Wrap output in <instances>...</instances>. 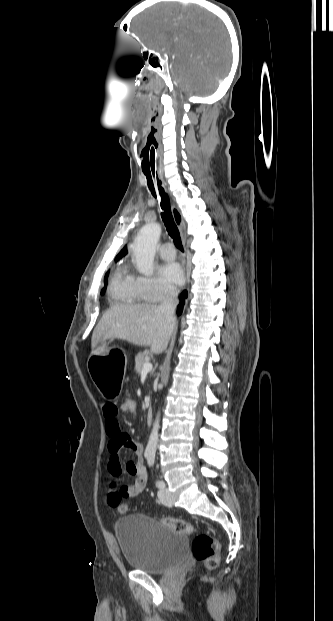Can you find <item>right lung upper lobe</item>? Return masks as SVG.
<instances>
[{
    "instance_id": "right-lung-upper-lobe-1",
    "label": "right lung upper lobe",
    "mask_w": 333,
    "mask_h": 621,
    "mask_svg": "<svg viewBox=\"0 0 333 621\" xmlns=\"http://www.w3.org/2000/svg\"><path fill=\"white\" fill-rule=\"evenodd\" d=\"M127 253V249L126 246L119 252V254L116 256V260L118 261L119 259H121V257H123L125 254Z\"/></svg>"
}]
</instances>
